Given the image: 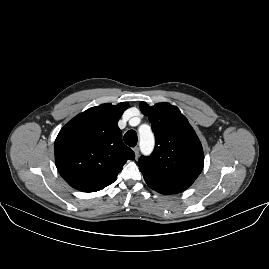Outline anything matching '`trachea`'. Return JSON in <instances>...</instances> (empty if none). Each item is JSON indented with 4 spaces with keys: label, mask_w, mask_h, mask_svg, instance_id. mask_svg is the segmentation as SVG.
<instances>
[{
    "label": "trachea",
    "mask_w": 269,
    "mask_h": 269,
    "mask_svg": "<svg viewBox=\"0 0 269 269\" xmlns=\"http://www.w3.org/2000/svg\"><path fill=\"white\" fill-rule=\"evenodd\" d=\"M124 142L130 147H135L137 145V133L134 130L126 132Z\"/></svg>",
    "instance_id": "trachea-1"
}]
</instances>
